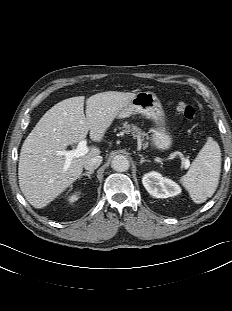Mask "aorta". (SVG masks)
Wrapping results in <instances>:
<instances>
[{
  "label": "aorta",
  "instance_id": "762f6f07",
  "mask_svg": "<svg viewBox=\"0 0 232 311\" xmlns=\"http://www.w3.org/2000/svg\"><path fill=\"white\" fill-rule=\"evenodd\" d=\"M111 167L117 172H125L130 167L129 160L123 155H117L112 159Z\"/></svg>",
  "mask_w": 232,
  "mask_h": 311
}]
</instances>
